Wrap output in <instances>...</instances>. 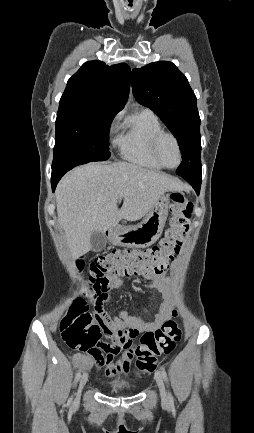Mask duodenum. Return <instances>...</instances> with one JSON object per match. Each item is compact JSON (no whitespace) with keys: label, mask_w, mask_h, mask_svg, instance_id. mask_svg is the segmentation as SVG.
<instances>
[{"label":"duodenum","mask_w":254,"mask_h":433,"mask_svg":"<svg viewBox=\"0 0 254 433\" xmlns=\"http://www.w3.org/2000/svg\"><path fill=\"white\" fill-rule=\"evenodd\" d=\"M119 229V225H116L111 232H116Z\"/></svg>","instance_id":"410a0bca"}]
</instances>
